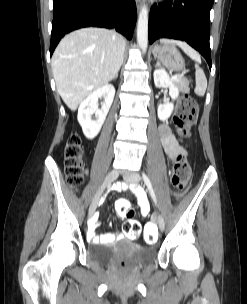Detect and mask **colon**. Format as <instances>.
<instances>
[{
  "instance_id": "1",
  "label": "colon",
  "mask_w": 247,
  "mask_h": 304,
  "mask_svg": "<svg viewBox=\"0 0 247 304\" xmlns=\"http://www.w3.org/2000/svg\"><path fill=\"white\" fill-rule=\"evenodd\" d=\"M197 104L194 99L188 95L181 97L178 102L176 113L173 118L176 132L181 137L189 135L190 128L197 115ZM65 174L68 183L72 188L78 187L83 181V148L81 139L77 133H72L67 141L65 148ZM191 170L184 154L177 156L171 181L177 190H183L190 179ZM116 209L121 216L131 217L133 209L126 200L117 202ZM159 224H146L145 246H156L158 238ZM142 233V225L139 221L130 219L124 225V235L136 239Z\"/></svg>"
}]
</instances>
